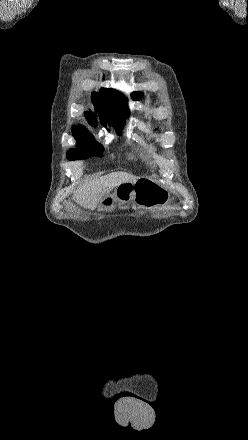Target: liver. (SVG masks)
I'll use <instances>...</instances> for the list:
<instances>
[{
	"label": "liver",
	"instance_id": "obj_1",
	"mask_svg": "<svg viewBox=\"0 0 248 440\" xmlns=\"http://www.w3.org/2000/svg\"><path fill=\"white\" fill-rule=\"evenodd\" d=\"M139 178L126 172H113L80 186L73 199L84 208L95 209L110 191L122 183H135Z\"/></svg>",
	"mask_w": 248,
	"mask_h": 440
}]
</instances>
